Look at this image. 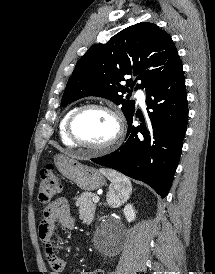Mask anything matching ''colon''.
Segmentation results:
<instances>
[{"label": "colon", "instance_id": "obj_1", "mask_svg": "<svg viewBox=\"0 0 215 274\" xmlns=\"http://www.w3.org/2000/svg\"><path fill=\"white\" fill-rule=\"evenodd\" d=\"M61 185L55 174L54 167L48 163L40 172L38 198L41 204H47L59 193Z\"/></svg>", "mask_w": 215, "mask_h": 274}]
</instances>
